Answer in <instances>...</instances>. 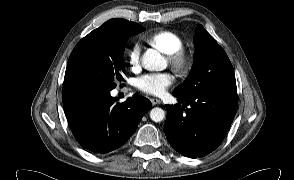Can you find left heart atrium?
I'll return each instance as SVG.
<instances>
[{
  "label": "left heart atrium",
  "mask_w": 294,
  "mask_h": 180,
  "mask_svg": "<svg viewBox=\"0 0 294 180\" xmlns=\"http://www.w3.org/2000/svg\"><path fill=\"white\" fill-rule=\"evenodd\" d=\"M174 83L171 73H148L135 80L138 90L149 95L160 96Z\"/></svg>",
  "instance_id": "39dd6f15"
}]
</instances>
